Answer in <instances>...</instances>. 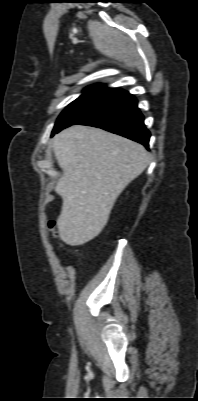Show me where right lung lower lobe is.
Here are the masks:
<instances>
[{
  "instance_id": "obj_1",
  "label": "right lung lower lobe",
  "mask_w": 198,
  "mask_h": 401,
  "mask_svg": "<svg viewBox=\"0 0 198 401\" xmlns=\"http://www.w3.org/2000/svg\"><path fill=\"white\" fill-rule=\"evenodd\" d=\"M77 124L102 128L149 147L150 132L145 128L137 100L122 89L110 91L104 102Z\"/></svg>"
}]
</instances>
